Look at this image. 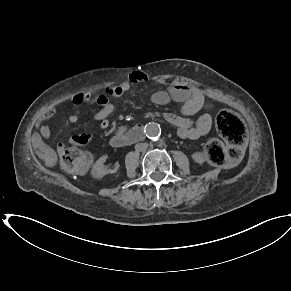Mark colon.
I'll use <instances>...</instances> for the list:
<instances>
[{
    "label": "colon",
    "mask_w": 291,
    "mask_h": 291,
    "mask_svg": "<svg viewBox=\"0 0 291 291\" xmlns=\"http://www.w3.org/2000/svg\"><path fill=\"white\" fill-rule=\"evenodd\" d=\"M216 127L225 140L211 139L205 147L208 161L217 166H226L238 159L244 145L247 131L241 118L231 110H221L216 117ZM72 147L61 155L62 167L72 174H85L93 162V155L81 149L80 143H72Z\"/></svg>",
    "instance_id": "colon-1"
}]
</instances>
